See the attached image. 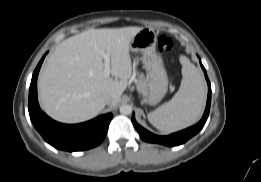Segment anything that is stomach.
<instances>
[{
  "mask_svg": "<svg viewBox=\"0 0 261 182\" xmlns=\"http://www.w3.org/2000/svg\"><path fill=\"white\" fill-rule=\"evenodd\" d=\"M157 34L154 29L145 27L132 39L130 51L142 54L143 68L146 71L144 103L156 105L168 90V76L162 57L156 51Z\"/></svg>",
  "mask_w": 261,
  "mask_h": 182,
  "instance_id": "stomach-1",
  "label": "stomach"
}]
</instances>
